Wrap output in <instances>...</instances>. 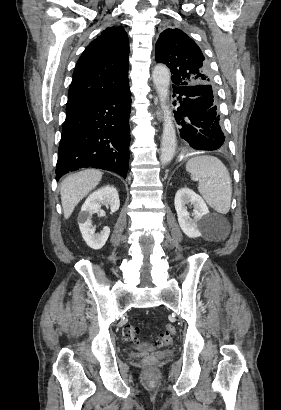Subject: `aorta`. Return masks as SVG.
Returning a JSON list of instances; mask_svg holds the SVG:
<instances>
[{
    "mask_svg": "<svg viewBox=\"0 0 281 410\" xmlns=\"http://www.w3.org/2000/svg\"><path fill=\"white\" fill-rule=\"evenodd\" d=\"M152 77L164 114L160 161L162 164H168L173 159L176 150V131L168 104L170 71L165 65H156L152 72Z\"/></svg>",
    "mask_w": 281,
    "mask_h": 410,
    "instance_id": "obj_1",
    "label": "aorta"
}]
</instances>
